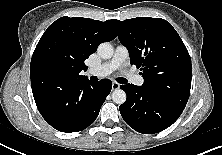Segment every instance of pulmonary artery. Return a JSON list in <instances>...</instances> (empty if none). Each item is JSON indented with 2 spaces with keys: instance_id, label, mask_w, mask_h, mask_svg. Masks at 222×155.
I'll list each match as a JSON object with an SVG mask.
<instances>
[{
  "instance_id": "1",
  "label": "pulmonary artery",
  "mask_w": 222,
  "mask_h": 155,
  "mask_svg": "<svg viewBox=\"0 0 222 155\" xmlns=\"http://www.w3.org/2000/svg\"><path fill=\"white\" fill-rule=\"evenodd\" d=\"M128 57V49L123 45H118L115 48L113 57L109 61L97 67L89 68L87 73L97 77H105L111 74L114 70L121 68L127 61ZM128 77L135 85L140 86L144 83V79L137 74H128Z\"/></svg>"
}]
</instances>
